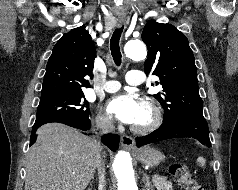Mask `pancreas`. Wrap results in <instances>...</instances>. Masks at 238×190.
I'll return each mask as SVG.
<instances>
[{"label": "pancreas", "mask_w": 238, "mask_h": 190, "mask_svg": "<svg viewBox=\"0 0 238 190\" xmlns=\"http://www.w3.org/2000/svg\"><path fill=\"white\" fill-rule=\"evenodd\" d=\"M153 183L157 190H173L172 182L167 181L165 177L157 176L155 179H153Z\"/></svg>", "instance_id": "1"}]
</instances>
